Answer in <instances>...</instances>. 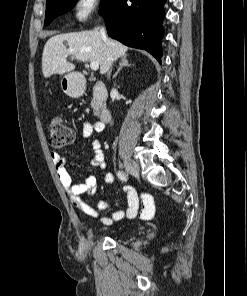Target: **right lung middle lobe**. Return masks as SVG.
<instances>
[{"label": "right lung middle lobe", "mask_w": 247, "mask_h": 296, "mask_svg": "<svg viewBox=\"0 0 247 296\" xmlns=\"http://www.w3.org/2000/svg\"><path fill=\"white\" fill-rule=\"evenodd\" d=\"M76 0H47L45 25H49L57 16L67 13ZM111 0H102L100 10L103 11L107 8Z\"/></svg>", "instance_id": "obj_1"}]
</instances>
